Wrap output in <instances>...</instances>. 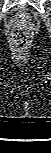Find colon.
I'll return each instance as SVG.
<instances>
[{
    "label": "colon",
    "instance_id": "obj_1",
    "mask_svg": "<svg viewBox=\"0 0 51 153\" xmlns=\"http://www.w3.org/2000/svg\"><path fill=\"white\" fill-rule=\"evenodd\" d=\"M11 36L13 42L19 47L26 46L30 41L28 33L19 27L13 30Z\"/></svg>",
    "mask_w": 51,
    "mask_h": 153
}]
</instances>
